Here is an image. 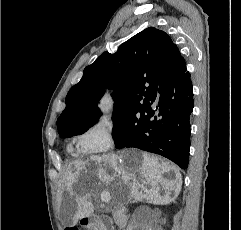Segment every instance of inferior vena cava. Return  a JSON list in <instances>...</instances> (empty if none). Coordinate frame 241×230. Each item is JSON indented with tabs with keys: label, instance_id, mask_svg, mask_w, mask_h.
Instances as JSON below:
<instances>
[{
	"label": "inferior vena cava",
	"instance_id": "inferior-vena-cava-1",
	"mask_svg": "<svg viewBox=\"0 0 241 230\" xmlns=\"http://www.w3.org/2000/svg\"><path fill=\"white\" fill-rule=\"evenodd\" d=\"M114 221L117 225H125L127 222V215H126V208L120 207L115 213H114Z\"/></svg>",
	"mask_w": 241,
	"mask_h": 230
}]
</instances>
